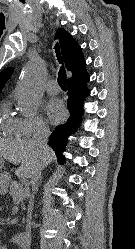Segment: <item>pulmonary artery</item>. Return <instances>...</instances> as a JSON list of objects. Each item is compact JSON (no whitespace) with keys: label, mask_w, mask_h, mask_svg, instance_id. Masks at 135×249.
Returning <instances> with one entry per match:
<instances>
[{"label":"pulmonary artery","mask_w":135,"mask_h":249,"mask_svg":"<svg viewBox=\"0 0 135 249\" xmlns=\"http://www.w3.org/2000/svg\"><path fill=\"white\" fill-rule=\"evenodd\" d=\"M46 92L50 95H56L60 91V87L55 80L49 81L45 86Z\"/></svg>","instance_id":"1"}]
</instances>
